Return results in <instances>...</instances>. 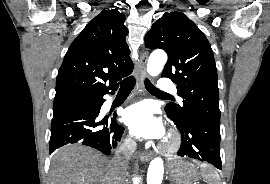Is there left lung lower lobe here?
Segmentation results:
<instances>
[{"label":"left lung lower lobe","mask_w":270,"mask_h":184,"mask_svg":"<svg viewBox=\"0 0 270 184\" xmlns=\"http://www.w3.org/2000/svg\"><path fill=\"white\" fill-rule=\"evenodd\" d=\"M174 123L181 133L179 156L207 162L222 169L219 123L199 117H192L184 124Z\"/></svg>","instance_id":"0a47b994"}]
</instances>
